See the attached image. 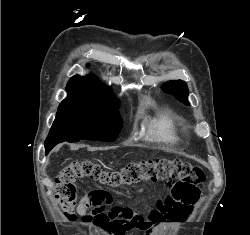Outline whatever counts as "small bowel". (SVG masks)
Wrapping results in <instances>:
<instances>
[{
  "label": "small bowel",
  "mask_w": 250,
  "mask_h": 235,
  "mask_svg": "<svg viewBox=\"0 0 250 235\" xmlns=\"http://www.w3.org/2000/svg\"><path fill=\"white\" fill-rule=\"evenodd\" d=\"M78 213L84 215L86 208L83 205L78 207ZM193 211V205H186L180 201L173 199L171 195L160 200L156 209L151 213L150 220L152 224H168L172 222H182Z\"/></svg>",
  "instance_id": "1"
}]
</instances>
